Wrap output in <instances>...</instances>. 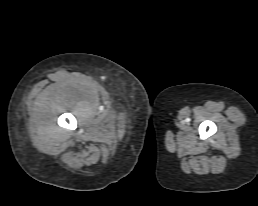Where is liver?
I'll list each match as a JSON object with an SVG mask.
<instances>
[{"mask_svg":"<svg viewBox=\"0 0 258 206\" xmlns=\"http://www.w3.org/2000/svg\"><path fill=\"white\" fill-rule=\"evenodd\" d=\"M47 94V89H45L44 91H43V95H46Z\"/></svg>","mask_w":258,"mask_h":206,"instance_id":"6515ba94","label":"liver"}]
</instances>
